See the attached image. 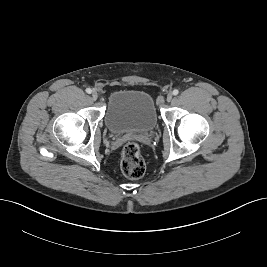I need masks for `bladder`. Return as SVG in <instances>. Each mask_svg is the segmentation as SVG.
Listing matches in <instances>:
<instances>
[{
    "instance_id": "bladder-1",
    "label": "bladder",
    "mask_w": 267,
    "mask_h": 267,
    "mask_svg": "<svg viewBox=\"0 0 267 267\" xmlns=\"http://www.w3.org/2000/svg\"><path fill=\"white\" fill-rule=\"evenodd\" d=\"M104 121L114 134L149 132L157 124L154 99L143 90L113 91L108 97Z\"/></svg>"
}]
</instances>
